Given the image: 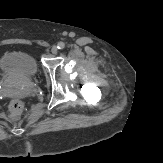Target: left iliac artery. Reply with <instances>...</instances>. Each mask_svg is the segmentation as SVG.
Instances as JSON below:
<instances>
[{
	"mask_svg": "<svg viewBox=\"0 0 163 163\" xmlns=\"http://www.w3.org/2000/svg\"><path fill=\"white\" fill-rule=\"evenodd\" d=\"M57 48L60 49V50H62V49L65 48V44H64L63 42H59V43L57 44Z\"/></svg>",
	"mask_w": 163,
	"mask_h": 163,
	"instance_id": "left-iliac-artery-1",
	"label": "left iliac artery"
}]
</instances>
